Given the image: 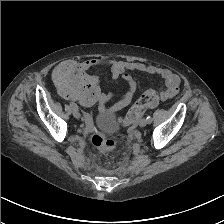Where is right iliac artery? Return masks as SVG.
Returning <instances> with one entry per match:
<instances>
[{
	"label": "right iliac artery",
	"mask_w": 224,
	"mask_h": 224,
	"mask_svg": "<svg viewBox=\"0 0 224 224\" xmlns=\"http://www.w3.org/2000/svg\"><path fill=\"white\" fill-rule=\"evenodd\" d=\"M72 109L78 110V106L75 103H70Z\"/></svg>",
	"instance_id": "1"
}]
</instances>
